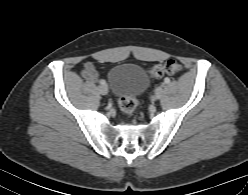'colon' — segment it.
I'll use <instances>...</instances> for the list:
<instances>
[{
	"instance_id": "colon-1",
	"label": "colon",
	"mask_w": 248,
	"mask_h": 195,
	"mask_svg": "<svg viewBox=\"0 0 248 195\" xmlns=\"http://www.w3.org/2000/svg\"><path fill=\"white\" fill-rule=\"evenodd\" d=\"M182 70V65L175 60H168L150 68L149 75L154 78H160L166 74L174 75ZM119 107L127 115H132L137 107L135 99L131 96H121L119 98Z\"/></svg>"
}]
</instances>
